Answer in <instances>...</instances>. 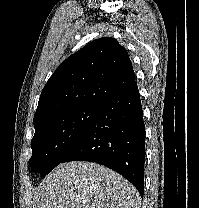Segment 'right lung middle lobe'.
Returning a JSON list of instances; mask_svg holds the SVG:
<instances>
[{
    "mask_svg": "<svg viewBox=\"0 0 199 208\" xmlns=\"http://www.w3.org/2000/svg\"><path fill=\"white\" fill-rule=\"evenodd\" d=\"M99 106H82L60 112L35 125L29 165L42 175L48 174L76 145Z\"/></svg>",
    "mask_w": 199,
    "mask_h": 208,
    "instance_id": "obj_1",
    "label": "right lung middle lobe"
}]
</instances>
